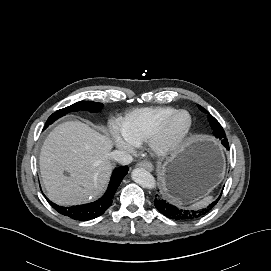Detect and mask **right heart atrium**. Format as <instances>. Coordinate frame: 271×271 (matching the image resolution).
<instances>
[{
	"instance_id": "obj_1",
	"label": "right heart atrium",
	"mask_w": 271,
	"mask_h": 271,
	"mask_svg": "<svg viewBox=\"0 0 271 271\" xmlns=\"http://www.w3.org/2000/svg\"><path fill=\"white\" fill-rule=\"evenodd\" d=\"M112 143L126 151H133L134 144H132L117 128H113L110 131Z\"/></svg>"
}]
</instances>
